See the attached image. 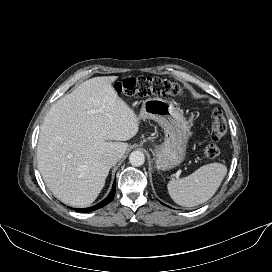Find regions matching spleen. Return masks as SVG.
Here are the masks:
<instances>
[{
    "mask_svg": "<svg viewBox=\"0 0 272 272\" xmlns=\"http://www.w3.org/2000/svg\"><path fill=\"white\" fill-rule=\"evenodd\" d=\"M227 173L220 163L204 165L182 179H172L167 188L175 203L193 207L208 201L217 191Z\"/></svg>",
    "mask_w": 272,
    "mask_h": 272,
    "instance_id": "1",
    "label": "spleen"
}]
</instances>
